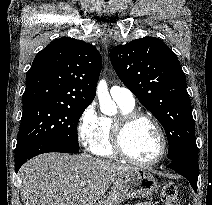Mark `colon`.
Wrapping results in <instances>:
<instances>
[{
    "instance_id": "obj_1",
    "label": "colon",
    "mask_w": 212,
    "mask_h": 205,
    "mask_svg": "<svg viewBox=\"0 0 212 205\" xmlns=\"http://www.w3.org/2000/svg\"><path fill=\"white\" fill-rule=\"evenodd\" d=\"M160 198L165 205H179L178 190L175 184L166 183L162 186Z\"/></svg>"
}]
</instances>
